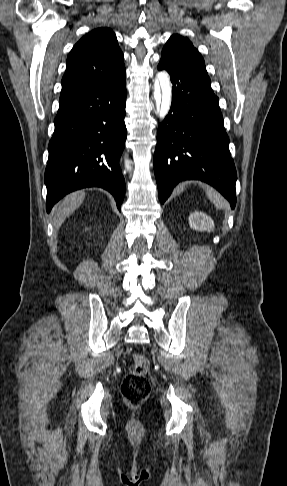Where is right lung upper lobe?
<instances>
[{
    "mask_svg": "<svg viewBox=\"0 0 287 486\" xmlns=\"http://www.w3.org/2000/svg\"><path fill=\"white\" fill-rule=\"evenodd\" d=\"M125 77L124 56L115 33L109 28L94 29L83 36L68 55L60 104Z\"/></svg>",
    "mask_w": 287,
    "mask_h": 486,
    "instance_id": "cb5924a9",
    "label": "right lung upper lobe"
}]
</instances>
